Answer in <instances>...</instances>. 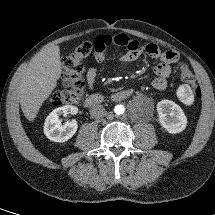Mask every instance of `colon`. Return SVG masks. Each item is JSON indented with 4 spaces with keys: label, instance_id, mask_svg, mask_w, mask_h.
Masks as SVG:
<instances>
[{
    "label": "colon",
    "instance_id": "1",
    "mask_svg": "<svg viewBox=\"0 0 215 215\" xmlns=\"http://www.w3.org/2000/svg\"><path fill=\"white\" fill-rule=\"evenodd\" d=\"M94 52L93 44L84 42L79 45L75 52L63 59L62 62V79L64 88L55 91L49 98L50 104L54 106L75 104L80 101L83 93L84 83L81 75L83 72V60L89 57ZM182 79L187 83L194 95L200 97V89L195 83V78L192 72L184 64H180Z\"/></svg>",
    "mask_w": 215,
    "mask_h": 215
}]
</instances>
